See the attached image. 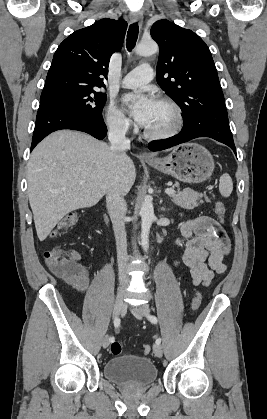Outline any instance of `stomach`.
I'll return each mask as SVG.
<instances>
[{"instance_id": "0dacf381", "label": "stomach", "mask_w": 267, "mask_h": 419, "mask_svg": "<svg viewBox=\"0 0 267 419\" xmlns=\"http://www.w3.org/2000/svg\"><path fill=\"white\" fill-rule=\"evenodd\" d=\"M146 162L160 172L185 183H201L207 180L215 166L211 153L198 143L179 145L165 158Z\"/></svg>"}]
</instances>
